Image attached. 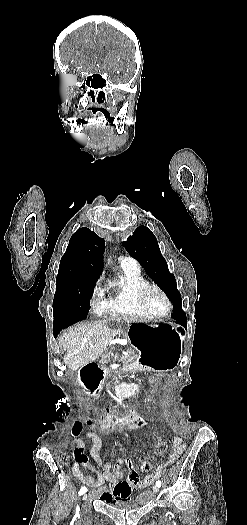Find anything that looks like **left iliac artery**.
<instances>
[{"label": "left iliac artery", "instance_id": "obj_1", "mask_svg": "<svg viewBox=\"0 0 247 525\" xmlns=\"http://www.w3.org/2000/svg\"><path fill=\"white\" fill-rule=\"evenodd\" d=\"M156 485H157L158 487H161V481H160V480L156 481Z\"/></svg>", "mask_w": 247, "mask_h": 525}]
</instances>
